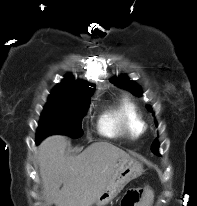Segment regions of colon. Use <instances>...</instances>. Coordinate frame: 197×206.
Returning <instances> with one entry per match:
<instances>
[{
  "label": "colon",
  "mask_w": 197,
  "mask_h": 206,
  "mask_svg": "<svg viewBox=\"0 0 197 206\" xmlns=\"http://www.w3.org/2000/svg\"><path fill=\"white\" fill-rule=\"evenodd\" d=\"M148 190H142L140 188H133L127 192L123 198L122 206H132L135 202H138L141 196L146 194Z\"/></svg>",
  "instance_id": "colon-1"
}]
</instances>
